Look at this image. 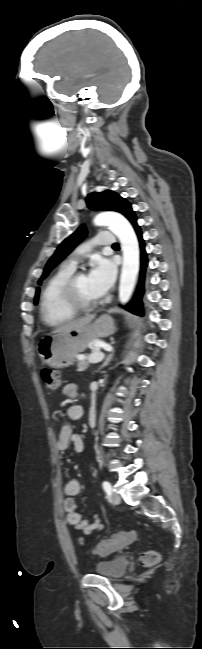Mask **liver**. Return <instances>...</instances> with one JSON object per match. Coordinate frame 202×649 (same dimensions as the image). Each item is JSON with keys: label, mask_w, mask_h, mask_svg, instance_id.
Masks as SVG:
<instances>
[{"label": "liver", "mask_w": 202, "mask_h": 649, "mask_svg": "<svg viewBox=\"0 0 202 649\" xmlns=\"http://www.w3.org/2000/svg\"><path fill=\"white\" fill-rule=\"evenodd\" d=\"M94 318L95 316L91 315L80 319L65 322L62 325L58 326L55 330H53L52 333L55 334V333H61V332L71 331L74 329L83 328L89 325Z\"/></svg>", "instance_id": "6515ba94"}]
</instances>
